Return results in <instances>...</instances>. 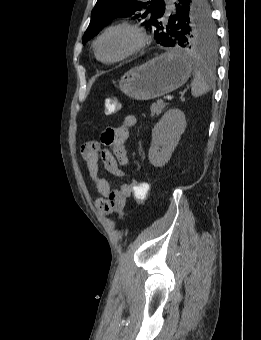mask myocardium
<instances>
[{"mask_svg":"<svg viewBox=\"0 0 261 340\" xmlns=\"http://www.w3.org/2000/svg\"><path fill=\"white\" fill-rule=\"evenodd\" d=\"M118 28H125V29H128V30L134 32L135 35H136V38H137L136 44L132 49H130L129 51H127L126 53H124V54H122L118 57H115V58H112V59H103L100 56L99 51H98L99 43H100L101 39L108 32L115 30V29H118ZM148 42H149V37H148V34H147V32H146V30L143 26H141L139 23H136V22H133V21L124 20V21H120V22L114 23V24L106 27L96 38L93 47H94V53H95L96 57L100 61L110 64V63H115V62L125 60V59L137 54L138 52H140L142 49L145 48V46L148 44Z\"/></svg>","mask_w":261,"mask_h":340,"instance_id":"1","label":"myocardium"}]
</instances>
